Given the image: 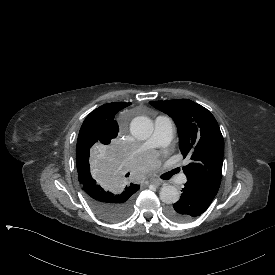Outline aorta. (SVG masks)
<instances>
[{
  "label": "aorta",
  "instance_id": "1",
  "mask_svg": "<svg viewBox=\"0 0 275 275\" xmlns=\"http://www.w3.org/2000/svg\"><path fill=\"white\" fill-rule=\"evenodd\" d=\"M153 130V122L146 116H138L131 121L130 131L137 140H146L152 135ZM179 198V191L172 185H165L160 190V200L165 204H174Z\"/></svg>",
  "mask_w": 275,
  "mask_h": 275
}]
</instances>
